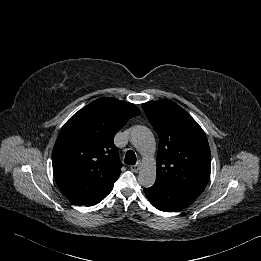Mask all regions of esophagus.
Wrapping results in <instances>:
<instances>
[{"label": "esophagus", "instance_id": "34e87169", "mask_svg": "<svg viewBox=\"0 0 261 261\" xmlns=\"http://www.w3.org/2000/svg\"><path fill=\"white\" fill-rule=\"evenodd\" d=\"M141 166V161H138L137 164L130 166L131 171L138 172Z\"/></svg>", "mask_w": 261, "mask_h": 261}]
</instances>
